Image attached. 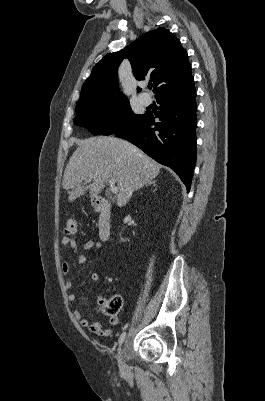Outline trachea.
Instances as JSON below:
<instances>
[{
	"label": "trachea",
	"instance_id": "trachea-1",
	"mask_svg": "<svg viewBox=\"0 0 265 401\" xmlns=\"http://www.w3.org/2000/svg\"><path fill=\"white\" fill-rule=\"evenodd\" d=\"M148 88H149V89H152V83H149V84H148Z\"/></svg>",
	"mask_w": 265,
	"mask_h": 401
}]
</instances>
